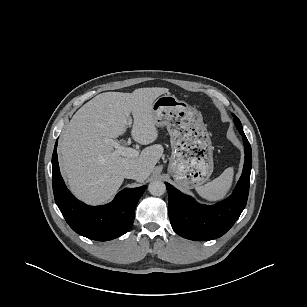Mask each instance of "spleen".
I'll list each match as a JSON object with an SVG mask.
<instances>
[{"label": "spleen", "instance_id": "1", "mask_svg": "<svg viewBox=\"0 0 307 307\" xmlns=\"http://www.w3.org/2000/svg\"><path fill=\"white\" fill-rule=\"evenodd\" d=\"M234 169L229 167L213 181L197 187L196 191L203 199L216 202L222 200L228 193L233 182Z\"/></svg>", "mask_w": 307, "mask_h": 307}]
</instances>
